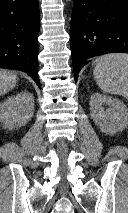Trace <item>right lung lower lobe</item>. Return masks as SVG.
<instances>
[{"label":"right lung lower lobe","mask_w":128,"mask_h":213,"mask_svg":"<svg viewBox=\"0 0 128 213\" xmlns=\"http://www.w3.org/2000/svg\"><path fill=\"white\" fill-rule=\"evenodd\" d=\"M38 0H0V68L38 75Z\"/></svg>","instance_id":"1"}]
</instances>
